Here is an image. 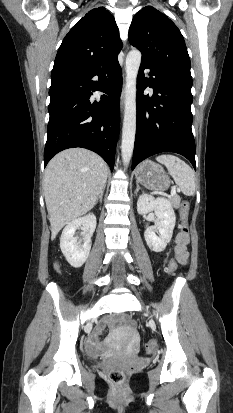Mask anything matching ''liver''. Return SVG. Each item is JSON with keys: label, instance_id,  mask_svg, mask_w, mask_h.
Listing matches in <instances>:
<instances>
[{"label": "liver", "instance_id": "liver-1", "mask_svg": "<svg viewBox=\"0 0 233 413\" xmlns=\"http://www.w3.org/2000/svg\"><path fill=\"white\" fill-rule=\"evenodd\" d=\"M107 172L105 161L84 148L64 150L50 160L43 186L52 240L66 224L93 208Z\"/></svg>", "mask_w": 233, "mask_h": 413}]
</instances>
